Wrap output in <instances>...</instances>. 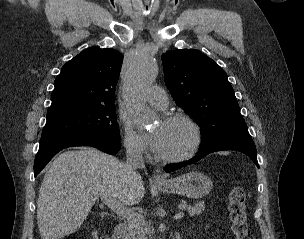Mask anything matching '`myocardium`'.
I'll return each mask as SVG.
<instances>
[{"mask_svg":"<svg viewBox=\"0 0 304 239\" xmlns=\"http://www.w3.org/2000/svg\"><path fill=\"white\" fill-rule=\"evenodd\" d=\"M165 122H182L186 124L192 132V141L189 147L175 155L156 154V159L165 163H177L192 158L200 149L203 141V134L200 125L190 116L183 113H176L166 116Z\"/></svg>","mask_w":304,"mask_h":239,"instance_id":"myocardium-1","label":"myocardium"}]
</instances>
